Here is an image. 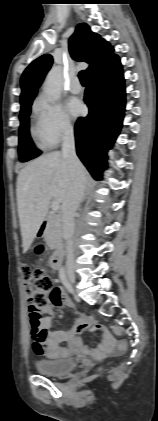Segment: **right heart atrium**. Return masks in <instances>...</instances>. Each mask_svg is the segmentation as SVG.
<instances>
[{
    "instance_id": "d8ad5b80",
    "label": "right heart atrium",
    "mask_w": 158,
    "mask_h": 421,
    "mask_svg": "<svg viewBox=\"0 0 158 421\" xmlns=\"http://www.w3.org/2000/svg\"><path fill=\"white\" fill-rule=\"evenodd\" d=\"M36 108L44 133L50 142L57 144L63 138L72 134L73 123L60 104L41 96L37 100Z\"/></svg>"
}]
</instances>
